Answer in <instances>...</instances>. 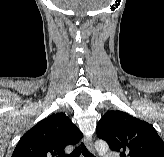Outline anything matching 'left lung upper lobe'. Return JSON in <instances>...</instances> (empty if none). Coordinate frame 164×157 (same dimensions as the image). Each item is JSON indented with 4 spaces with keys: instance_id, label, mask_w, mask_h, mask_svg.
I'll return each mask as SVG.
<instances>
[{
    "instance_id": "left-lung-upper-lobe-1",
    "label": "left lung upper lobe",
    "mask_w": 164,
    "mask_h": 157,
    "mask_svg": "<svg viewBox=\"0 0 164 157\" xmlns=\"http://www.w3.org/2000/svg\"><path fill=\"white\" fill-rule=\"evenodd\" d=\"M96 132L120 157H164V142L154 127L123 111H108Z\"/></svg>"
}]
</instances>
